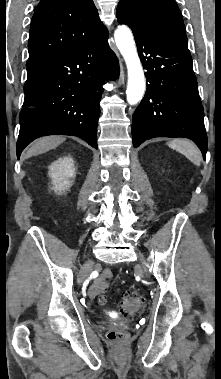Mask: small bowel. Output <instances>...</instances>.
<instances>
[{"label":"small bowel","instance_id":"small-bowel-1","mask_svg":"<svg viewBox=\"0 0 221 379\" xmlns=\"http://www.w3.org/2000/svg\"><path fill=\"white\" fill-rule=\"evenodd\" d=\"M102 276L104 278H111L112 277V272L109 269L104 270ZM101 290V281L97 280L95 281L91 287L89 288V296L91 299H95Z\"/></svg>","mask_w":221,"mask_h":379}]
</instances>
